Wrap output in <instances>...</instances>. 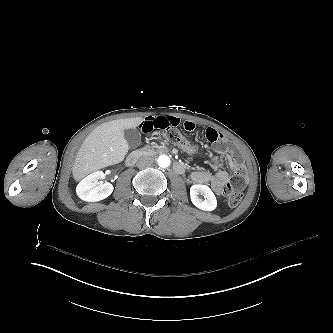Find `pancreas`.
Listing matches in <instances>:
<instances>
[{
  "mask_svg": "<svg viewBox=\"0 0 333 333\" xmlns=\"http://www.w3.org/2000/svg\"><path fill=\"white\" fill-rule=\"evenodd\" d=\"M142 151L145 155L156 156L157 154L168 153L170 149L167 146L156 147L152 145H145L142 148Z\"/></svg>",
  "mask_w": 333,
  "mask_h": 333,
  "instance_id": "1",
  "label": "pancreas"
}]
</instances>
